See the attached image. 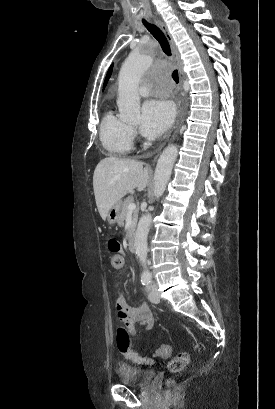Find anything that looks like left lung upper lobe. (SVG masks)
<instances>
[{
  "instance_id": "1",
  "label": "left lung upper lobe",
  "mask_w": 275,
  "mask_h": 409,
  "mask_svg": "<svg viewBox=\"0 0 275 409\" xmlns=\"http://www.w3.org/2000/svg\"><path fill=\"white\" fill-rule=\"evenodd\" d=\"M112 69H113V64L110 66V68H109V70H108V72H107V75H106V78H105L103 87L106 86V84H107V82H108V80H109V78H110V76H111Z\"/></svg>"
}]
</instances>
